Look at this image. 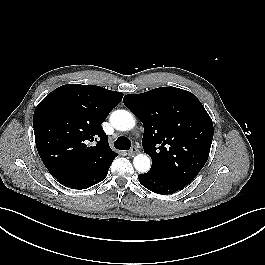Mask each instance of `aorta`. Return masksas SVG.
<instances>
[{
  "instance_id": "1",
  "label": "aorta",
  "mask_w": 265,
  "mask_h": 265,
  "mask_svg": "<svg viewBox=\"0 0 265 265\" xmlns=\"http://www.w3.org/2000/svg\"><path fill=\"white\" fill-rule=\"evenodd\" d=\"M112 126L120 131H128L134 128V116L126 110H116L110 116ZM134 167L141 173H146L150 170L151 161L145 154H138L133 159Z\"/></svg>"
}]
</instances>
